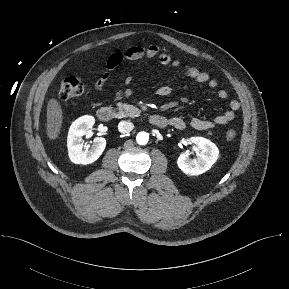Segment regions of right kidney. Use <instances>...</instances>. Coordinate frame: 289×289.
Masks as SVG:
<instances>
[{"mask_svg":"<svg viewBox=\"0 0 289 289\" xmlns=\"http://www.w3.org/2000/svg\"><path fill=\"white\" fill-rule=\"evenodd\" d=\"M94 123V117L85 115L70 126L67 138L68 155L75 164L87 165L95 162L106 147V139L103 137L95 138L91 146H83V136L89 133Z\"/></svg>","mask_w":289,"mask_h":289,"instance_id":"right-kidney-1","label":"right kidney"}]
</instances>
